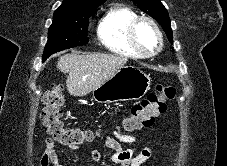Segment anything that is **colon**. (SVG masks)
<instances>
[{"mask_svg": "<svg viewBox=\"0 0 227 166\" xmlns=\"http://www.w3.org/2000/svg\"><path fill=\"white\" fill-rule=\"evenodd\" d=\"M175 89L171 86L158 85L140 102L136 103L130 113L121 122V128L134 132L152 126L154 119L166 110L167 101L174 98ZM42 112L43 125L55 141L64 146L82 145L93 141L95 133L66 126L62 121V107L65 96L60 86L51 87L44 97Z\"/></svg>", "mask_w": 227, "mask_h": 166, "instance_id": "colon-1", "label": "colon"}]
</instances>
